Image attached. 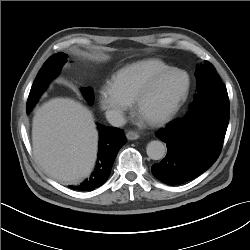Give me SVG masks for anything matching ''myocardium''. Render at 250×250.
<instances>
[{
    "mask_svg": "<svg viewBox=\"0 0 250 250\" xmlns=\"http://www.w3.org/2000/svg\"><path fill=\"white\" fill-rule=\"evenodd\" d=\"M174 73H182L186 77V85L182 92V94L176 99V101L172 104V106L165 111L163 114L147 120V122L152 126H160L166 122H168L180 109V107L183 105V103L186 101L190 88H191V77L189 73L183 69L180 68H170L167 70H164L157 75L153 76L145 85L144 87L138 92L137 96L135 97V106L137 111H140L141 105L143 102L152 94V92L155 90L158 83L166 78L167 76L174 74Z\"/></svg>",
    "mask_w": 250,
    "mask_h": 250,
    "instance_id": "f54148a6",
    "label": "myocardium"
}]
</instances>
